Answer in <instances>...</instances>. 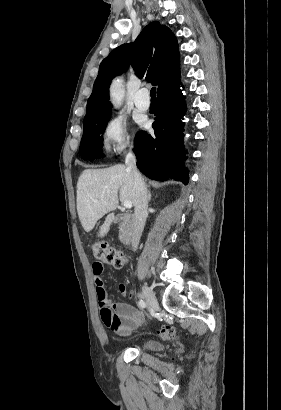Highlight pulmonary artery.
<instances>
[{
  "label": "pulmonary artery",
  "mask_w": 281,
  "mask_h": 410,
  "mask_svg": "<svg viewBox=\"0 0 281 410\" xmlns=\"http://www.w3.org/2000/svg\"><path fill=\"white\" fill-rule=\"evenodd\" d=\"M134 103L136 107L141 111H146L150 107V99L148 98V89H139L134 97Z\"/></svg>",
  "instance_id": "pulmonary-artery-1"
}]
</instances>
